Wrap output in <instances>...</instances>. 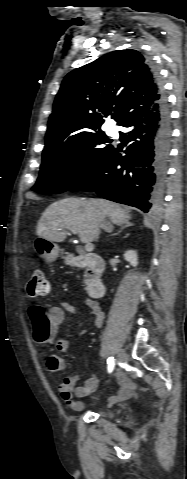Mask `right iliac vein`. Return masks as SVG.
Wrapping results in <instances>:
<instances>
[{
    "instance_id": "right-iliac-vein-1",
    "label": "right iliac vein",
    "mask_w": 187,
    "mask_h": 479,
    "mask_svg": "<svg viewBox=\"0 0 187 479\" xmlns=\"http://www.w3.org/2000/svg\"><path fill=\"white\" fill-rule=\"evenodd\" d=\"M125 358H126V353H125V351L122 350V349H120V350L118 351V360H119L120 362H124V361H125Z\"/></svg>"
}]
</instances>
